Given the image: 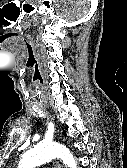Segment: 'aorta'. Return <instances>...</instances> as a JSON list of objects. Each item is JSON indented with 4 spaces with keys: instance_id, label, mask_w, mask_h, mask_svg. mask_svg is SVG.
<instances>
[{
    "instance_id": "obj_1",
    "label": "aorta",
    "mask_w": 127,
    "mask_h": 168,
    "mask_svg": "<svg viewBox=\"0 0 127 168\" xmlns=\"http://www.w3.org/2000/svg\"><path fill=\"white\" fill-rule=\"evenodd\" d=\"M59 158L69 168H78L71 152L58 143H39L22 156L19 168H35L52 159Z\"/></svg>"
}]
</instances>
